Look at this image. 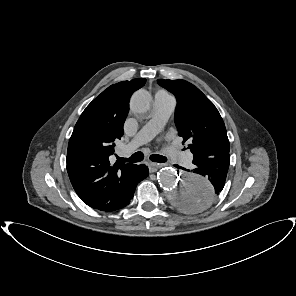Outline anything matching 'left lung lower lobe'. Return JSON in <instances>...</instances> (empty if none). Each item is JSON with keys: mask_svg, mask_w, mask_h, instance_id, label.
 Masks as SVG:
<instances>
[{"mask_svg": "<svg viewBox=\"0 0 296 296\" xmlns=\"http://www.w3.org/2000/svg\"><path fill=\"white\" fill-rule=\"evenodd\" d=\"M230 156H218L214 158L193 160L195 168L192 170L195 174L208 178L213 187L209 190L197 191L196 193L189 194L186 192L181 193V201L186 204V209L192 211H198L207 207L219 193L222 191L228 168H229ZM177 168L186 170L178 165ZM189 172V170H186Z\"/></svg>", "mask_w": 296, "mask_h": 296, "instance_id": "0a47b994", "label": "left lung lower lobe"}]
</instances>
